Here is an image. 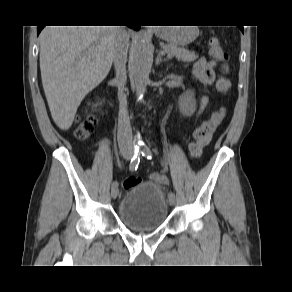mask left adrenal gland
I'll use <instances>...</instances> for the list:
<instances>
[{
  "label": "left adrenal gland",
  "mask_w": 292,
  "mask_h": 292,
  "mask_svg": "<svg viewBox=\"0 0 292 292\" xmlns=\"http://www.w3.org/2000/svg\"><path fill=\"white\" fill-rule=\"evenodd\" d=\"M167 61V59H163L161 53L159 52L156 58V65H159L161 62Z\"/></svg>",
  "instance_id": "obj_1"
}]
</instances>
